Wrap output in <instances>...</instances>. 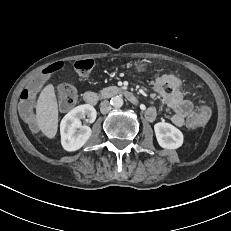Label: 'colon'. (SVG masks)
I'll return each instance as SVG.
<instances>
[{"instance_id": "1", "label": "colon", "mask_w": 231, "mask_h": 231, "mask_svg": "<svg viewBox=\"0 0 231 231\" xmlns=\"http://www.w3.org/2000/svg\"><path fill=\"white\" fill-rule=\"evenodd\" d=\"M75 70L79 76H87L94 68V61L92 59H82L75 62ZM62 68V63H54L48 66L44 73H39L36 76V82L23 90L20 97V110L21 113L28 119H32L33 107L35 103L36 95L39 91L40 86H46L49 83L48 74H52ZM162 80H167L172 83L179 93H186L187 97H195L196 89L188 87V85L183 84L181 80L176 79L174 76L162 77ZM77 90L72 84H63L58 90V101L61 110L68 111L74 107L77 102ZM211 116V109L205 105L201 104L198 106L197 112L194 116L190 117L188 120V125L190 127H197L205 125Z\"/></svg>"}]
</instances>
